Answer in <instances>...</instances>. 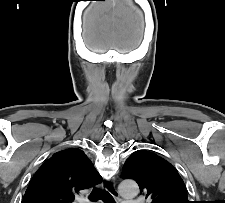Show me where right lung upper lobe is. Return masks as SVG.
<instances>
[{
  "label": "right lung upper lobe",
  "instance_id": "obj_1",
  "mask_svg": "<svg viewBox=\"0 0 225 203\" xmlns=\"http://www.w3.org/2000/svg\"><path fill=\"white\" fill-rule=\"evenodd\" d=\"M101 181L82 150L65 149L53 154L34 174L22 203H71L76 193Z\"/></svg>",
  "mask_w": 225,
  "mask_h": 203
}]
</instances>
